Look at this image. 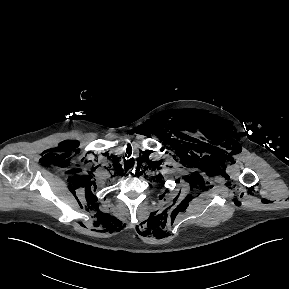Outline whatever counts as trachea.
<instances>
[{
    "mask_svg": "<svg viewBox=\"0 0 289 289\" xmlns=\"http://www.w3.org/2000/svg\"><path fill=\"white\" fill-rule=\"evenodd\" d=\"M132 166H133V164H128V165L126 166V170H129L130 168H132Z\"/></svg>",
    "mask_w": 289,
    "mask_h": 289,
    "instance_id": "obj_1",
    "label": "trachea"
}]
</instances>
